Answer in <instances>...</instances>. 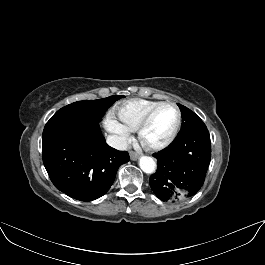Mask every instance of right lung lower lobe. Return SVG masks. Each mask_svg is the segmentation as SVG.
Returning a JSON list of instances; mask_svg holds the SVG:
<instances>
[{"instance_id": "1", "label": "right lung lower lobe", "mask_w": 265, "mask_h": 265, "mask_svg": "<svg viewBox=\"0 0 265 265\" xmlns=\"http://www.w3.org/2000/svg\"><path fill=\"white\" fill-rule=\"evenodd\" d=\"M42 146L43 163L55 187L81 201L103 196L120 165L130 160L128 152L106 143L98 121L86 117L52 116Z\"/></svg>"}]
</instances>
